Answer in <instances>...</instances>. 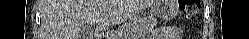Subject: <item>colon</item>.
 Returning <instances> with one entry per match:
<instances>
[{"label":"colon","mask_w":249,"mask_h":39,"mask_svg":"<svg viewBox=\"0 0 249 39\" xmlns=\"http://www.w3.org/2000/svg\"><path fill=\"white\" fill-rule=\"evenodd\" d=\"M180 9L187 18L195 16L200 9L198 0H181Z\"/></svg>","instance_id":"1"}]
</instances>
